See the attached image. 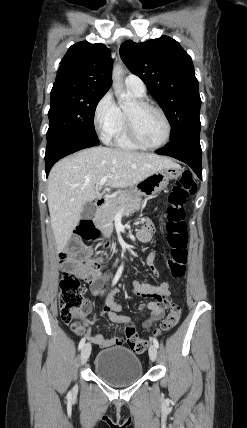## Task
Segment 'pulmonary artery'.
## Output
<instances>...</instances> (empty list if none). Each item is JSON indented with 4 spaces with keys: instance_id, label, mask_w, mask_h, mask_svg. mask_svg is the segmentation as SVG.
Segmentation results:
<instances>
[{
    "instance_id": "e3ab8cb5",
    "label": "pulmonary artery",
    "mask_w": 247,
    "mask_h": 428,
    "mask_svg": "<svg viewBox=\"0 0 247 428\" xmlns=\"http://www.w3.org/2000/svg\"><path fill=\"white\" fill-rule=\"evenodd\" d=\"M126 87L137 93L138 95L144 96L146 93V86L142 79L134 74H129L125 79Z\"/></svg>"
}]
</instances>
